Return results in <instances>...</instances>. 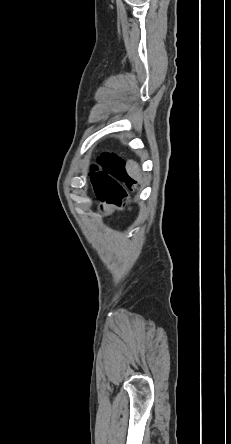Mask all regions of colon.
<instances>
[{"label": "colon", "mask_w": 231, "mask_h": 444, "mask_svg": "<svg viewBox=\"0 0 231 444\" xmlns=\"http://www.w3.org/2000/svg\"><path fill=\"white\" fill-rule=\"evenodd\" d=\"M90 179L94 185L101 186V198L108 203L127 206L129 191L134 189L124 161L116 154L104 152L91 167Z\"/></svg>", "instance_id": "obj_1"}]
</instances>
